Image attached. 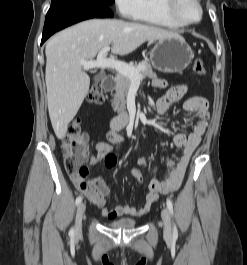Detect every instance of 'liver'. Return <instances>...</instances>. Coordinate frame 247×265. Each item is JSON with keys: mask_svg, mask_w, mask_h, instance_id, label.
I'll list each match as a JSON object with an SVG mask.
<instances>
[{"mask_svg": "<svg viewBox=\"0 0 247 265\" xmlns=\"http://www.w3.org/2000/svg\"><path fill=\"white\" fill-rule=\"evenodd\" d=\"M178 36L158 27L122 20L91 19L54 35L47 43L45 81L48 111L62 139L89 91L90 78L81 61L93 60L112 44V53L127 55L146 41Z\"/></svg>", "mask_w": 247, "mask_h": 265, "instance_id": "6515ba94", "label": "liver"}]
</instances>
